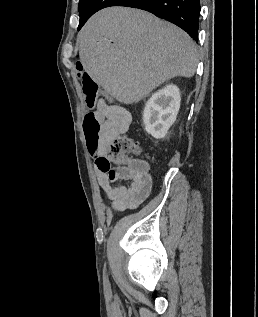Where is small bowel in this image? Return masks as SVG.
Wrapping results in <instances>:
<instances>
[{
  "mask_svg": "<svg viewBox=\"0 0 258 317\" xmlns=\"http://www.w3.org/2000/svg\"><path fill=\"white\" fill-rule=\"evenodd\" d=\"M96 108L105 117L106 142L127 132L132 117L126 109L110 105L104 100H100ZM91 155L95 160L98 184L112 201L113 211L136 209L147 199L152 189L148 161L137 158L115 161L107 155V143L91 151ZM118 181H127L129 184L114 185Z\"/></svg>",
  "mask_w": 258,
  "mask_h": 317,
  "instance_id": "1",
  "label": "small bowel"
}]
</instances>
